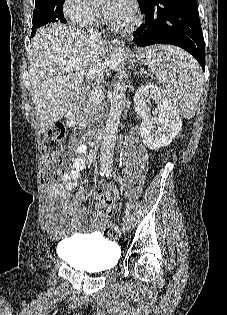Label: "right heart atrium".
Listing matches in <instances>:
<instances>
[{
  "label": "right heart atrium",
  "instance_id": "obj_1",
  "mask_svg": "<svg viewBox=\"0 0 227 315\" xmlns=\"http://www.w3.org/2000/svg\"><path fill=\"white\" fill-rule=\"evenodd\" d=\"M62 12L70 23L87 29L98 25L101 19L99 10L89 0H64Z\"/></svg>",
  "mask_w": 227,
  "mask_h": 315
}]
</instances>
